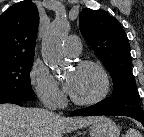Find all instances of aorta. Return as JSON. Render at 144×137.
I'll return each instance as SVG.
<instances>
[{
  "label": "aorta",
  "mask_w": 144,
  "mask_h": 137,
  "mask_svg": "<svg viewBox=\"0 0 144 137\" xmlns=\"http://www.w3.org/2000/svg\"><path fill=\"white\" fill-rule=\"evenodd\" d=\"M69 28L65 17H56L42 39V58L53 70L58 71L66 65L63 46Z\"/></svg>",
  "instance_id": "1"
}]
</instances>
